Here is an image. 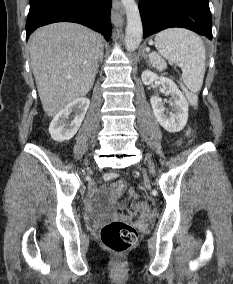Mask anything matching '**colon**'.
<instances>
[{
  "label": "colon",
  "instance_id": "colon-1",
  "mask_svg": "<svg viewBox=\"0 0 233 284\" xmlns=\"http://www.w3.org/2000/svg\"><path fill=\"white\" fill-rule=\"evenodd\" d=\"M149 59L156 69L164 70L166 68V61L158 53H151ZM182 90L190 104L193 106L197 105V94L184 86H182ZM104 179L114 183L119 195H123L126 192V182L123 179H120L116 173L108 172L104 175ZM135 210L142 218L147 217L149 214V206L144 201H138L135 204ZM100 238L106 248L117 254H123L134 246L138 239V232L135 227L128 223L123 221H112L102 226Z\"/></svg>",
  "mask_w": 233,
  "mask_h": 284
}]
</instances>
